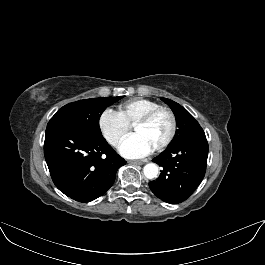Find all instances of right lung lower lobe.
<instances>
[{
  "label": "right lung lower lobe",
  "mask_w": 265,
  "mask_h": 265,
  "mask_svg": "<svg viewBox=\"0 0 265 265\" xmlns=\"http://www.w3.org/2000/svg\"><path fill=\"white\" fill-rule=\"evenodd\" d=\"M44 155L55 186L79 202L103 195L126 164L102 135L67 126L46 129Z\"/></svg>",
  "instance_id": "obj_1"
}]
</instances>
